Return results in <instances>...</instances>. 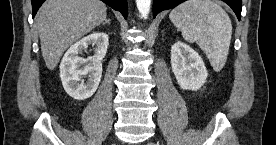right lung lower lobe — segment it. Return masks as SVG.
I'll return each instance as SVG.
<instances>
[{
    "label": "right lung lower lobe",
    "instance_id": "1",
    "mask_svg": "<svg viewBox=\"0 0 276 145\" xmlns=\"http://www.w3.org/2000/svg\"><path fill=\"white\" fill-rule=\"evenodd\" d=\"M45 0H31L32 2V17H34L39 9V7L42 5V3ZM113 9L119 11L122 13L124 18H127L128 14V6H127V0H101Z\"/></svg>",
    "mask_w": 276,
    "mask_h": 145
}]
</instances>
